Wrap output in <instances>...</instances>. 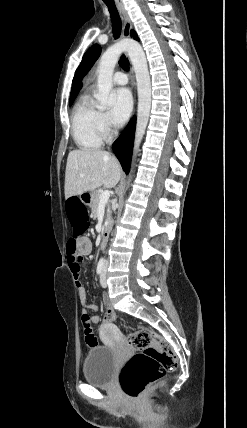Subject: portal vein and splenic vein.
Returning <instances> with one entry per match:
<instances>
[{"instance_id": "obj_1", "label": "portal vein and splenic vein", "mask_w": 247, "mask_h": 428, "mask_svg": "<svg viewBox=\"0 0 247 428\" xmlns=\"http://www.w3.org/2000/svg\"><path fill=\"white\" fill-rule=\"evenodd\" d=\"M109 197H110L109 191L102 192L100 195V204L106 203L108 201Z\"/></svg>"}]
</instances>
